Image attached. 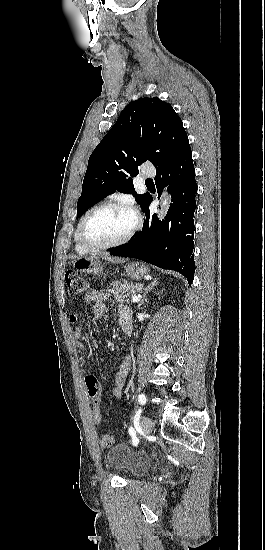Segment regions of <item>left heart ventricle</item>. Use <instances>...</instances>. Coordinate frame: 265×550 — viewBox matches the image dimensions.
<instances>
[{
	"instance_id": "b2bd125f",
	"label": "left heart ventricle",
	"mask_w": 265,
	"mask_h": 550,
	"mask_svg": "<svg viewBox=\"0 0 265 550\" xmlns=\"http://www.w3.org/2000/svg\"><path fill=\"white\" fill-rule=\"evenodd\" d=\"M134 222V215L126 210L103 209L89 218L84 234L93 243L106 244L124 237L131 230Z\"/></svg>"
}]
</instances>
